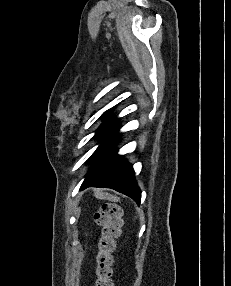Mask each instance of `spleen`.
<instances>
[{
    "instance_id": "obj_1",
    "label": "spleen",
    "mask_w": 231,
    "mask_h": 286,
    "mask_svg": "<svg viewBox=\"0 0 231 286\" xmlns=\"http://www.w3.org/2000/svg\"><path fill=\"white\" fill-rule=\"evenodd\" d=\"M95 197L98 198V199H104V200H109L111 202H120V198L115 196V195H112L110 193H107V192H103V191H96L94 193Z\"/></svg>"
}]
</instances>
